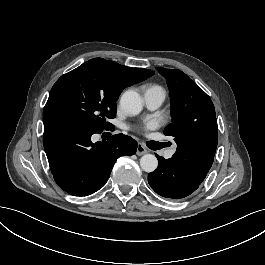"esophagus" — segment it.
<instances>
[{
	"label": "esophagus",
	"instance_id": "esophagus-1",
	"mask_svg": "<svg viewBox=\"0 0 265 265\" xmlns=\"http://www.w3.org/2000/svg\"><path fill=\"white\" fill-rule=\"evenodd\" d=\"M147 152H148V150L145 148V146L142 143H138L136 154L138 156H142V155L146 154Z\"/></svg>",
	"mask_w": 265,
	"mask_h": 265
}]
</instances>
